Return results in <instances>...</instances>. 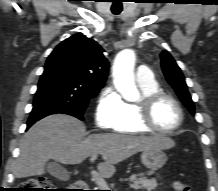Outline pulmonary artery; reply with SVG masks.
Instances as JSON below:
<instances>
[{
    "mask_svg": "<svg viewBox=\"0 0 218 191\" xmlns=\"http://www.w3.org/2000/svg\"><path fill=\"white\" fill-rule=\"evenodd\" d=\"M137 82L141 84H148L154 81L153 71L150 67L146 65H141L138 68Z\"/></svg>",
    "mask_w": 218,
    "mask_h": 191,
    "instance_id": "pulmonary-artery-1",
    "label": "pulmonary artery"
}]
</instances>
